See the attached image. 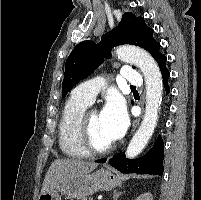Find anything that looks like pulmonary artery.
<instances>
[{
  "label": "pulmonary artery",
  "mask_w": 201,
  "mask_h": 200,
  "mask_svg": "<svg viewBox=\"0 0 201 200\" xmlns=\"http://www.w3.org/2000/svg\"><path fill=\"white\" fill-rule=\"evenodd\" d=\"M121 74L127 83L140 85L142 78L140 73L132 70L130 67H123ZM105 87V81L102 79H92L86 81L73 90V95L89 104L92 103L98 93Z\"/></svg>",
  "instance_id": "e3ab8cb5"
}]
</instances>
